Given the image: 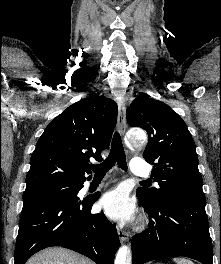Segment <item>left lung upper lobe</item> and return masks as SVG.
<instances>
[{
  "label": "left lung upper lobe",
  "mask_w": 221,
  "mask_h": 264,
  "mask_svg": "<svg viewBox=\"0 0 221 264\" xmlns=\"http://www.w3.org/2000/svg\"><path fill=\"white\" fill-rule=\"evenodd\" d=\"M127 120L148 133L143 157L154 165L152 177L159 184L138 188L140 202L152 205L173 199L206 204L195 143L182 118L165 103L143 96L133 100Z\"/></svg>",
  "instance_id": "left-lung-upper-lobe-1"
}]
</instances>
